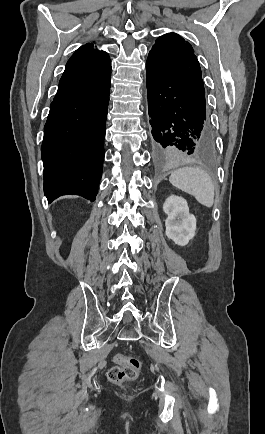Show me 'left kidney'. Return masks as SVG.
<instances>
[{
	"mask_svg": "<svg viewBox=\"0 0 265 434\" xmlns=\"http://www.w3.org/2000/svg\"><path fill=\"white\" fill-rule=\"evenodd\" d=\"M163 210L168 216L165 222L167 238L173 240L177 246H187L189 240L195 236L196 218L190 214L186 200L179 196H170Z\"/></svg>",
	"mask_w": 265,
	"mask_h": 434,
	"instance_id": "5707ae66",
	"label": "left kidney"
}]
</instances>
